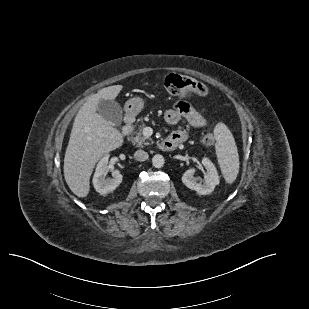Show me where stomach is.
<instances>
[{
  "instance_id": "stomach-1",
  "label": "stomach",
  "mask_w": 309,
  "mask_h": 309,
  "mask_svg": "<svg viewBox=\"0 0 309 309\" xmlns=\"http://www.w3.org/2000/svg\"><path fill=\"white\" fill-rule=\"evenodd\" d=\"M144 107V100L139 97H134L126 101L124 109L126 116L130 119H133L137 116Z\"/></svg>"
}]
</instances>
